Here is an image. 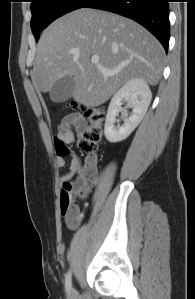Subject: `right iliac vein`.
<instances>
[{
    "mask_svg": "<svg viewBox=\"0 0 195 299\" xmlns=\"http://www.w3.org/2000/svg\"><path fill=\"white\" fill-rule=\"evenodd\" d=\"M70 299H72L73 298V292L72 291H70Z\"/></svg>",
    "mask_w": 195,
    "mask_h": 299,
    "instance_id": "right-iliac-vein-1",
    "label": "right iliac vein"
}]
</instances>
